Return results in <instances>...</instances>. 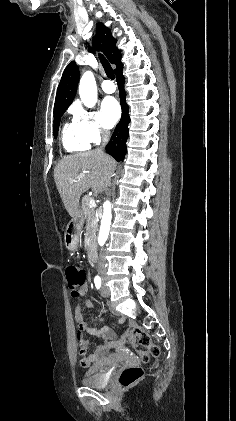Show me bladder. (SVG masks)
Segmentation results:
<instances>
[{
    "instance_id": "1",
    "label": "bladder",
    "mask_w": 236,
    "mask_h": 421,
    "mask_svg": "<svg viewBox=\"0 0 236 421\" xmlns=\"http://www.w3.org/2000/svg\"><path fill=\"white\" fill-rule=\"evenodd\" d=\"M81 383L94 387H105L106 385L101 373L96 368H92L84 372L83 377L81 378Z\"/></svg>"
}]
</instances>
